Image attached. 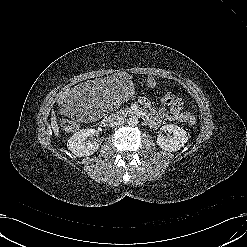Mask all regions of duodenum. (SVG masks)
Returning a JSON list of instances; mask_svg holds the SVG:
<instances>
[{
	"label": "duodenum",
	"instance_id": "410a0bca",
	"mask_svg": "<svg viewBox=\"0 0 247 247\" xmlns=\"http://www.w3.org/2000/svg\"><path fill=\"white\" fill-rule=\"evenodd\" d=\"M139 112H138V110L137 109H130V110H128V114L129 115H137ZM119 119V116L117 115V116H114V117H109L107 120H106V122L108 123V122H111V121H114V120H118Z\"/></svg>",
	"mask_w": 247,
	"mask_h": 247
}]
</instances>
